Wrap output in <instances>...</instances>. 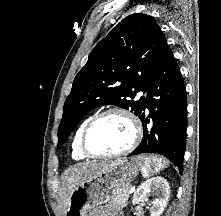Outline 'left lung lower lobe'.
Instances as JSON below:
<instances>
[{
  "label": "left lung lower lobe",
  "mask_w": 221,
  "mask_h": 216,
  "mask_svg": "<svg viewBox=\"0 0 221 216\" xmlns=\"http://www.w3.org/2000/svg\"><path fill=\"white\" fill-rule=\"evenodd\" d=\"M146 92L145 106L139 117L144 136L129 156L161 154L182 173L187 129L186 89L169 46L153 70Z\"/></svg>",
  "instance_id": "left-lung-lower-lobe-1"
}]
</instances>
